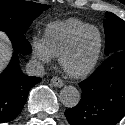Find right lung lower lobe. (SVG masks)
<instances>
[{
  "mask_svg": "<svg viewBox=\"0 0 125 125\" xmlns=\"http://www.w3.org/2000/svg\"><path fill=\"white\" fill-rule=\"evenodd\" d=\"M13 48L21 54H29L31 46L25 36L7 33ZM41 82V78L24 75L14 53L8 67L0 74V123L15 119L25 105L30 89Z\"/></svg>",
  "mask_w": 125,
  "mask_h": 125,
  "instance_id": "obj_1",
  "label": "right lung lower lobe"
}]
</instances>
